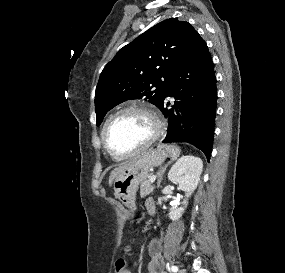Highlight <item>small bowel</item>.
Segmentation results:
<instances>
[{"instance_id":"obj_1","label":"small bowel","mask_w":285,"mask_h":273,"mask_svg":"<svg viewBox=\"0 0 285 273\" xmlns=\"http://www.w3.org/2000/svg\"><path fill=\"white\" fill-rule=\"evenodd\" d=\"M145 207L149 213L155 212V203L152 199H147ZM148 253L150 260L148 262L147 271L148 273H165L164 272V261L162 258V246L158 240L150 241L148 245ZM131 273V272H129Z\"/></svg>"}]
</instances>
